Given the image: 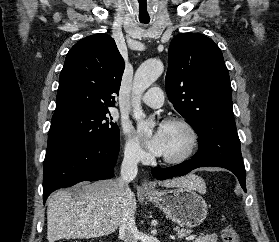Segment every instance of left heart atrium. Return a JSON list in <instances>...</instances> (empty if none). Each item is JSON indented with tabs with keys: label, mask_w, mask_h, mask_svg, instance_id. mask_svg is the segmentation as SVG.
Returning a JSON list of instances; mask_svg holds the SVG:
<instances>
[{
	"label": "left heart atrium",
	"mask_w": 279,
	"mask_h": 242,
	"mask_svg": "<svg viewBox=\"0 0 279 242\" xmlns=\"http://www.w3.org/2000/svg\"><path fill=\"white\" fill-rule=\"evenodd\" d=\"M146 147L156 156H161L164 152V133L162 126L157 127L151 135H139Z\"/></svg>",
	"instance_id": "39dd6f15"
}]
</instances>
